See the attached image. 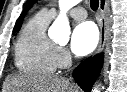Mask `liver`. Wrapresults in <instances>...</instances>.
Returning a JSON list of instances; mask_svg holds the SVG:
<instances>
[{
    "instance_id": "6515ba94",
    "label": "liver",
    "mask_w": 127,
    "mask_h": 92,
    "mask_svg": "<svg viewBox=\"0 0 127 92\" xmlns=\"http://www.w3.org/2000/svg\"><path fill=\"white\" fill-rule=\"evenodd\" d=\"M3 92H80L68 79L51 75H10Z\"/></svg>"
}]
</instances>
